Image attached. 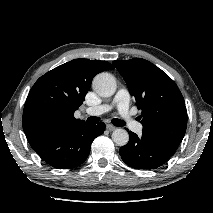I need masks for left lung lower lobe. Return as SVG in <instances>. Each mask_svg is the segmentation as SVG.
I'll use <instances>...</instances> for the list:
<instances>
[{
  "label": "left lung lower lobe",
  "mask_w": 213,
  "mask_h": 213,
  "mask_svg": "<svg viewBox=\"0 0 213 213\" xmlns=\"http://www.w3.org/2000/svg\"><path fill=\"white\" fill-rule=\"evenodd\" d=\"M129 135V142L120 148V156L128 166L135 169H156L168 161L178 148V145L144 132L138 136L129 131Z\"/></svg>",
  "instance_id": "obj_1"
}]
</instances>
